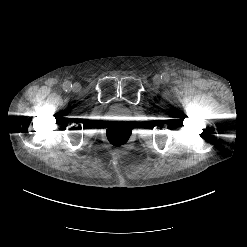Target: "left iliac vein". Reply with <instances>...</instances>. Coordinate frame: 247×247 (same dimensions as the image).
Returning <instances> with one entry per match:
<instances>
[{"mask_svg": "<svg viewBox=\"0 0 247 247\" xmlns=\"http://www.w3.org/2000/svg\"><path fill=\"white\" fill-rule=\"evenodd\" d=\"M153 83H154L155 86L160 85V83H161V77L159 75H156L154 77V79H153Z\"/></svg>", "mask_w": 247, "mask_h": 247, "instance_id": "left-iliac-vein-1", "label": "left iliac vein"}]
</instances>
